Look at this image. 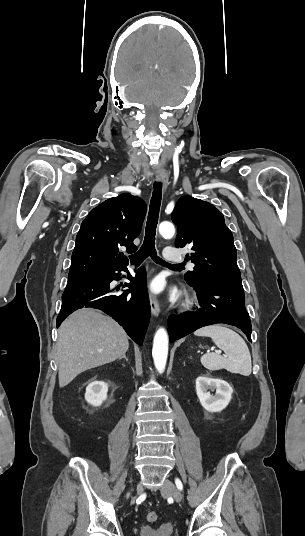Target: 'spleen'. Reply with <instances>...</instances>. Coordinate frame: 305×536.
Here are the masks:
<instances>
[{"label": "spleen", "instance_id": "spleen-1", "mask_svg": "<svg viewBox=\"0 0 305 536\" xmlns=\"http://www.w3.org/2000/svg\"><path fill=\"white\" fill-rule=\"evenodd\" d=\"M195 336H207L212 338L217 348L223 350L226 356H220L215 352H208L201 356L200 362L206 370L216 372V370H227L233 374H241V376H250L252 372L251 356L243 338L229 330L223 328L221 324L214 326H205L194 332Z\"/></svg>", "mask_w": 305, "mask_h": 536}]
</instances>
